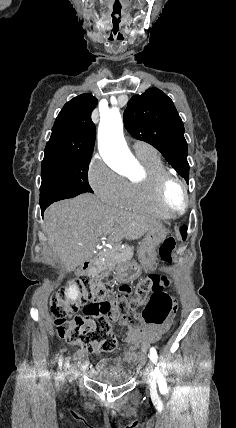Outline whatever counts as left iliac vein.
Listing matches in <instances>:
<instances>
[{
    "mask_svg": "<svg viewBox=\"0 0 236 428\" xmlns=\"http://www.w3.org/2000/svg\"><path fill=\"white\" fill-rule=\"evenodd\" d=\"M145 371L146 372H151L152 371V364L146 365L145 366Z\"/></svg>",
    "mask_w": 236,
    "mask_h": 428,
    "instance_id": "4c4485c4",
    "label": "left iliac vein"
}]
</instances>
